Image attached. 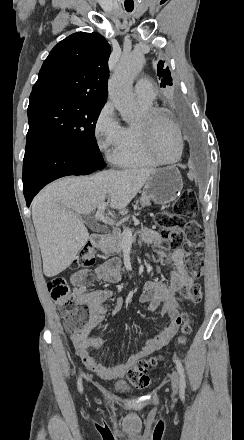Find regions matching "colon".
<instances>
[{
    "label": "colon",
    "mask_w": 244,
    "mask_h": 440,
    "mask_svg": "<svg viewBox=\"0 0 244 440\" xmlns=\"http://www.w3.org/2000/svg\"><path fill=\"white\" fill-rule=\"evenodd\" d=\"M199 214V208L195 192L192 189L185 190L180 199L174 205L173 212L159 213L156 222L159 228L164 230V240L158 242L159 249H179L182 245L186 251V266L191 275L197 279L203 276V237L202 225L195 219ZM81 257H94V248H81ZM164 259L162 253L158 256ZM88 259H81L74 263V272H87ZM47 288L53 302L57 306L58 314L66 319L69 329H80L82 319L89 312L88 304H77L76 298L61 277H51L47 281ZM182 300L197 303L202 300L203 291L200 285L185 287L181 291ZM188 312V311H187ZM192 318L189 313L184 314L179 322V335L175 341V347L181 349L185 346L187 336L191 331ZM161 362V358L148 356L135 360L129 372L128 379L134 384L144 385L148 381L146 371L155 368Z\"/></svg>",
    "instance_id": "1"
}]
</instances>
